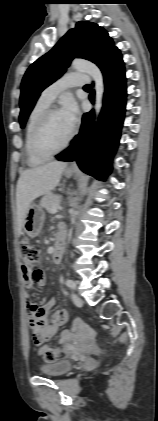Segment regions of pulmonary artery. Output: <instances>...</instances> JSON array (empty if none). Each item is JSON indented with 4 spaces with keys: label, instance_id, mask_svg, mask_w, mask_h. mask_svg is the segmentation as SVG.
Returning a JSON list of instances; mask_svg holds the SVG:
<instances>
[{
    "label": "pulmonary artery",
    "instance_id": "pulmonary-artery-1",
    "mask_svg": "<svg viewBox=\"0 0 158 421\" xmlns=\"http://www.w3.org/2000/svg\"><path fill=\"white\" fill-rule=\"evenodd\" d=\"M88 82V76L78 72H68L56 80L54 83L46 87L39 99L45 103L51 104L59 93L63 90L73 87L81 86Z\"/></svg>",
    "mask_w": 158,
    "mask_h": 421
}]
</instances>
